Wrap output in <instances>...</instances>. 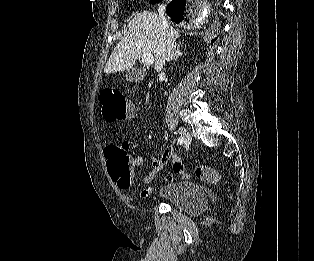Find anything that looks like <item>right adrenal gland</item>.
<instances>
[{
    "instance_id": "right-adrenal-gland-1",
    "label": "right adrenal gland",
    "mask_w": 314,
    "mask_h": 261,
    "mask_svg": "<svg viewBox=\"0 0 314 261\" xmlns=\"http://www.w3.org/2000/svg\"><path fill=\"white\" fill-rule=\"evenodd\" d=\"M180 45L181 44H178V47H177V50H176V54H175V57H174V61H177L178 58L183 55V53L180 52Z\"/></svg>"
}]
</instances>
